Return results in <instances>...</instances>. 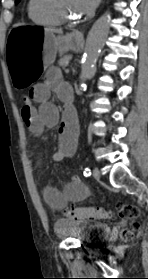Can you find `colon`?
Wrapping results in <instances>:
<instances>
[{
  "label": "colon",
  "mask_w": 148,
  "mask_h": 279,
  "mask_svg": "<svg viewBox=\"0 0 148 279\" xmlns=\"http://www.w3.org/2000/svg\"><path fill=\"white\" fill-rule=\"evenodd\" d=\"M24 104L30 106L32 97L29 94L23 97ZM117 213L120 219L130 221V228L125 229L121 237L124 241L131 240L136 232L140 229V223L137 219L140 216V210L137 206L131 204L120 203L117 205ZM65 215L72 219H109L110 212L101 207L96 206H80L72 207L65 210Z\"/></svg>",
  "instance_id": "5ec220e1"
}]
</instances>
